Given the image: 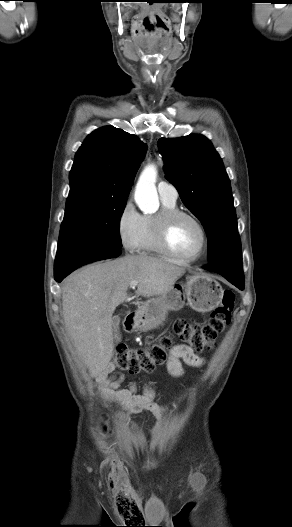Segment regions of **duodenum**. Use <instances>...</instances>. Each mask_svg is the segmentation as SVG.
Here are the masks:
<instances>
[{"mask_svg": "<svg viewBox=\"0 0 292 527\" xmlns=\"http://www.w3.org/2000/svg\"><path fill=\"white\" fill-rule=\"evenodd\" d=\"M137 315L136 313L132 312L128 314L126 318V327L128 329H132L135 326Z\"/></svg>", "mask_w": 292, "mask_h": 527, "instance_id": "410a0bca", "label": "duodenum"}]
</instances>
